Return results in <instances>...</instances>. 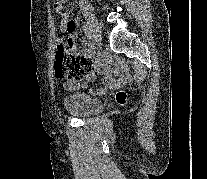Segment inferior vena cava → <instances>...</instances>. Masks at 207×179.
<instances>
[{
    "label": "inferior vena cava",
    "mask_w": 207,
    "mask_h": 179,
    "mask_svg": "<svg viewBox=\"0 0 207 179\" xmlns=\"http://www.w3.org/2000/svg\"><path fill=\"white\" fill-rule=\"evenodd\" d=\"M81 2H86L87 0H80Z\"/></svg>",
    "instance_id": "inferior-vena-cava-1"
}]
</instances>
